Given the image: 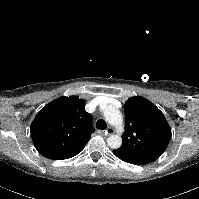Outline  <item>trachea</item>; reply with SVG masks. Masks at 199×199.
I'll return each mask as SVG.
<instances>
[{"label": "trachea", "instance_id": "obj_1", "mask_svg": "<svg viewBox=\"0 0 199 199\" xmlns=\"http://www.w3.org/2000/svg\"><path fill=\"white\" fill-rule=\"evenodd\" d=\"M96 127H97L98 129L104 130V129H106L107 124L105 123L104 120L99 119V120L97 121V123H96Z\"/></svg>", "mask_w": 199, "mask_h": 199}]
</instances>
